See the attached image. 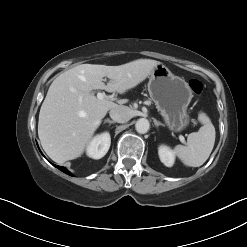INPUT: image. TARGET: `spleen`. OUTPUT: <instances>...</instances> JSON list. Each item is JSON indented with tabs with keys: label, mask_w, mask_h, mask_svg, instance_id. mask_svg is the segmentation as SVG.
<instances>
[{
	"label": "spleen",
	"mask_w": 247,
	"mask_h": 247,
	"mask_svg": "<svg viewBox=\"0 0 247 247\" xmlns=\"http://www.w3.org/2000/svg\"><path fill=\"white\" fill-rule=\"evenodd\" d=\"M198 119L203 126L198 132L188 135L187 146L177 145L174 153L187 166L199 167L209 158L215 143V128L205 113H200Z\"/></svg>",
	"instance_id": "spleen-1"
}]
</instances>
